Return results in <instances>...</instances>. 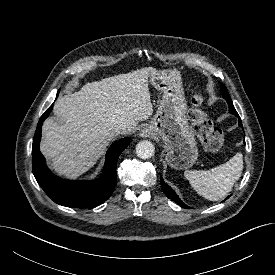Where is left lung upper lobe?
I'll list each match as a JSON object with an SVG mask.
<instances>
[{
  "label": "left lung upper lobe",
  "instance_id": "5c2ea615",
  "mask_svg": "<svg viewBox=\"0 0 275 275\" xmlns=\"http://www.w3.org/2000/svg\"><path fill=\"white\" fill-rule=\"evenodd\" d=\"M221 93H222L223 98H224V97H229L227 88H226L225 85L222 84V83H221Z\"/></svg>",
  "mask_w": 275,
  "mask_h": 275
}]
</instances>
